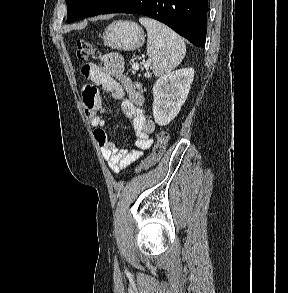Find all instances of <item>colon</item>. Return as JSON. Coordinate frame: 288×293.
I'll list each match as a JSON object with an SVG mask.
<instances>
[{
  "label": "colon",
  "instance_id": "obj_1",
  "mask_svg": "<svg viewBox=\"0 0 288 293\" xmlns=\"http://www.w3.org/2000/svg\"><path fill=\"white\" fill-rule=\"evenodd\" d=\"M76 54L79 60L88 62L92 59H95L98 55V52L91 42L85 39H78L76 41ZM168 141L169 134L165 130L160 131L157 135V141L152 150V153L138 165L136 172L147 170L154 166L163 156Z\"/></svg>",
  "mask_w": 288,
  "mask_h": 293
}]
</instances>
